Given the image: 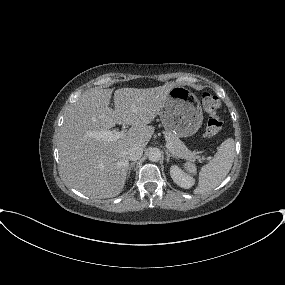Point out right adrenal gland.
<instances>
[{
  "instance_id": "2a0ac1e0",
  "label": "right adrenal gland",
  "mask_w": 285,
  "mask_h": 285,
  "mask_svg": "<svg viewBox=\"0 0 285 285\" xmlns=\"http://www.w3.org/2000/svg\"><path fill=\"white\" fill-rule=\"evenodd\" d=\"M135 164H136V162H132V163L129 165L128 172H127V177L130 176L131 170L134 169Z\"/></svg>"
}]
</instances>
